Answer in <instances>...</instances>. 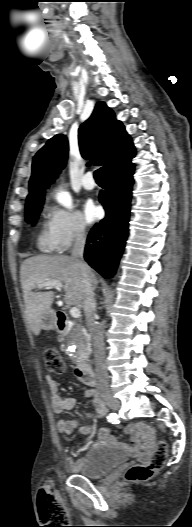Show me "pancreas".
Instances as JSON below:
<instances>
[{
  "label": "pancreas",
  "instance_id": "1",
  "mask_svg": "<svg viewBox=\"0 0 192 527\" xmlns=\"http://www.w3.org/2000/svg\"><path fill=\"white\" fill-rule=\"evenodd\" d=\"M68 338H69V343L75 344L78 350H80L84 346V344L87 342L84 329L79 324H76V323L72 325Z\"/></svg>",
  "mask_w": 192,
  "mask_h": 527
}]
</instances>
